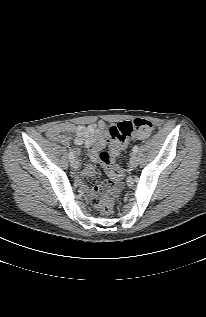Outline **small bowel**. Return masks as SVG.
<instances>
[{
	"label": "small bowel",
	"mask_w": 206,
	"mask_h": 317,
	"mask_svg": "<svg viewBox=\"0 0 206 317\" xmlns=\"http://www.w3.org/2000/svg\"><path fill=\"white\" fill-rule=\"evenodd\" d=\"M46 134L51 140L63 145H68L70 142L69 134H74V143L78 146H84L93 161L98 159V152L106 146H109L111 157H116L119 154V148L114 144H109V133L107 124L104 121H98L88 126L74 124L53 125L47 130ZM75 153L78 155L79 151L76 150ZM94 174L95 170L91 164L86 165L82 172V175L85 176H93ZM98 193V187H94L88 192L89 199L95 205H98Z\"/></svg>",
	"instance_id": "c3829d8e"
}]
</instances>
